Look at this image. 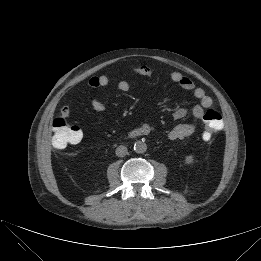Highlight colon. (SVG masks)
<instances>
[{
	"label": "colon",
	"mask_w": 261,
	"mask_h": 261,
	"mask_svg": "<svg viewBox=\"0 0 261 261\" xmlns=\"http://www.w3.org/2000/svg\"><path fill=\"white\" fill-rule=\"evenodd\" d=\"M203 121V137L206 140H209L212 135L222 129V115L219 111L215 109H208L203 116ZM52 129V144L57 149L65 148L70 144H77L82 139V132L80 128L70 125L64 117L55 118L52 123Z\"/></svg>",
	"instance_id": "1"
}]
</instances>
